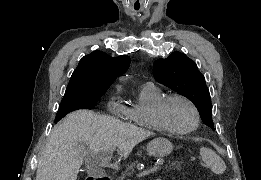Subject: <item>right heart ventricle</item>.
Listing matches in <instances>:
<instances>
[{"label":"right heart ventricle","instance_id":"e07e8e85","mask_svg":"<svg viewBox=\"0 0 261 180\" xmlns=\"http://www.w3.org/2000/svg\"><path fill=\"white\" fill-rule=\"evenodd\" d=\"M165 93L152 84L142 85L131 107H122L124 122H132V127H144V131H152L145 122L144 115L158 105V103L165 97ZM145 138L161 137L157 136L152 131V136H143ZM182 137H168L172 139H182Z\"/></svg>","mask_w":261,"mask_h":180}]
</instances>
